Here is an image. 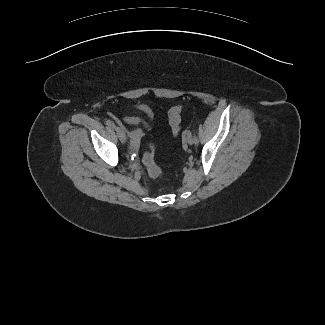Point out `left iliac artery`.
Segmentation results:
<instances>
[{
    "instance_id": "obj_1",
    "label": "left iliac artery",
    "mask_w": 325,
    "mask_h": 325,
    "mask_svg": "<svg viewBox=\"0 0 325 325\" xmlns=\"http://www.w3.org/2000/svg\"><path fill=\"white\" fill-rule=\"evenodd\" d=\"M193 137H194V141H195V143L196 144H198V139H197V136H196V134H195V130L193 129Z\"/></svg>"
}]
</instances>
